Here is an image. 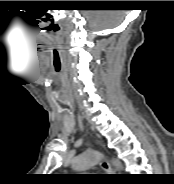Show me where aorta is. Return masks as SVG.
Returning a JSON list of instances; mask_svg holds the SVG:
<instances>
[{
	"label": "aorta",
	"mask_w": 174,
	"mask_h": 184,
	"mask_svg": "<svg viewBox=\"0 0 174 184\" xmlns=\"http://www.w3.org/2000/svg\"><path fill=\"white\" fill-rule=\"evenodd\" d=\"M100 158V154L96 151L86 152L78 157H76L72 162V168L75 171H84L93 165H95ZM114 165L118 168H122L121 164L118 161L113 162Z\"/></svg>",
	"instance_id": "obj_1"
}]
</instances>
